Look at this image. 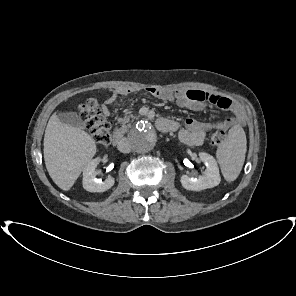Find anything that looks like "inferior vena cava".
<instances>
[{"mask_svg": "<svg viewBox=\"0 0 296 296\" xmlns=\"http://www.w3.org/2000/svg\"><path fill=\"white\" fill-rule=\"evenodd\" d=\"M118 149L123 153H129L131 151V145L128 139L123 138L118 144Z\"/></svg>", "mask_w": 296, "mask_h": 296, "instance_id": "obj_1", "label": "inferior vena cava"}]
</instances>
